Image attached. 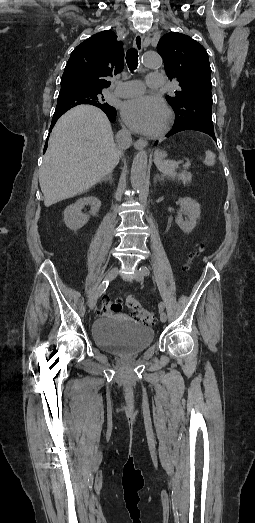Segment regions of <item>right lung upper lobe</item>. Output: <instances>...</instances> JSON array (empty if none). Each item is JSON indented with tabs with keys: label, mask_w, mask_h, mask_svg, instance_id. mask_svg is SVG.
Listing matches in <instances>:
<instances>
[{
	"label": "right lung upper lobe",
	"mask_w": 255,
	"mask_h": 523,
	"mask_svg": "<svg viewBox=\"0 0 255 523\" xmlns=\"http://www.w3.org/2000/svg\"><path fill=\"white\" fill-rule=\"evenodd\" d=\"M123 42L117 40L111 30L99 32L78 45L66 64L61 78V90L76 89L102 92L110 85L105 78L123 69ZM79 104H91L103 110L110 121H115L116 109L101 100L92 102H59L51 127L70 108Z\"/></svg>",
	"instance_id": "cb5924a9"
}]
</instances>
